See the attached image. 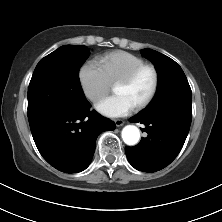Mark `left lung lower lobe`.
<instances>
[{"label": "left lung lower lobe", "instance_id": "1", "mask_svg": "<svg viewBox=\"0 0 222 222\" xmlns=\"http://www.w3.org/2000/svg\"><path fill=\"white\" fill-rule=\"evenodd\" d=\"M191 119V103L178 100L165 101L130 118V122L144 124L148 133L136 146L125 147L130 164L144 172L168 166L183 147Z\"/></svg>", "mask_w": 222, "mask_h": 222}]
</instances>
